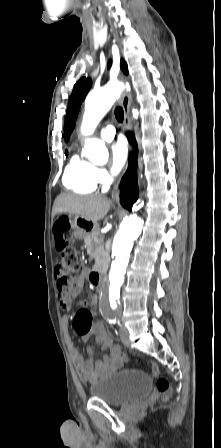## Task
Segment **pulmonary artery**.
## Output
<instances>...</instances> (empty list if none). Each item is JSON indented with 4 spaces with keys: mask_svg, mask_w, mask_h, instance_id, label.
<instances>
[{
    "mask_svg": "<svg viewBox=\"0 0 221 448\" xmlns=\"http://www.w3.org/2000/svg\"><path fill=\"white\" fill-rule=\"evenodd\" d=\"M100 135L103 139L110 141L114 138L115 136V128L111 125L102 127L100 129Z\"/></svg>",
    "mask_w": 221,
    "mask_h": 448,
    "instance_id": "1",
    "label": "pulmonary artery"
}]
</instances>
